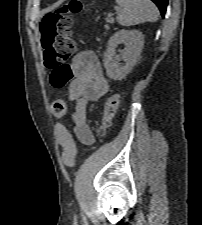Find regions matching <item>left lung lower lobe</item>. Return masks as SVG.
I'll use <instances>...</instances> for the list:
<instances>
[{
    "instance_id": "left-lung-lower-lobe-1",
    "label": "left lung lower lobe",
    "mask_w": 202,
    "mask_h": 225,
    "mask_svg": "<svg viewBox=\"0 0 202 225\" xmlns=\"http://www.w3.org/2000/svg\"><path fill=\"white\" fill-rule=\"evenodd\" d=\"M160 9L162 17H164L166 12V7L168 5V0H152Z\"/></svg>"
}]
</instances>
